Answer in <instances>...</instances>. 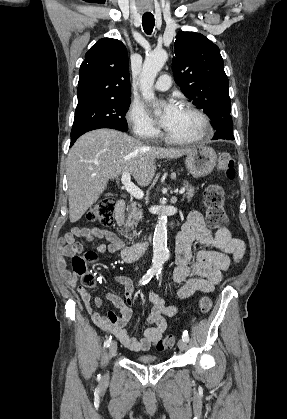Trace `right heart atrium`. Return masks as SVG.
I'll return each mask as SVG.
<instances>
[{
  "label": "right heart atrium",
  "instance_id": "right-heart-atrium-1",
  "mask_svg": "<svg viewBox=\"0 0 287 419\" xmlns=\"http://www.w3.org/2000/svg\"><path fill=\"white\" fill-rule=\"evenodd\" d=\"M126 119L132 132L144 140H152L158 136V128L149 116L145 107L139 102H133L126 114Z\"/></svg>",
  "mask_w": 287,
  "mask_h": 419
}]
</instances>
